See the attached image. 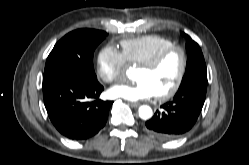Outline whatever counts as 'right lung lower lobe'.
<instances>
[{
  "label": "right lung lower lobe",
  "instance_id": "right-lung-lower-lobe-1",
  "mask_svg": "<svg viewBox=\"0 0 249 165\" xmlns=\"http://www.w3.org/2000/svg\"><path fill=\"white\" fill-rule=\"evenodd\" d=\"M103 86L48 72L43 75V96L48 116L56 129L73 140L92 137L104 127L112 101H102Z\"/></svg>",
  "mask_w": 249,
  "mask_h": 165
}]
</instances>
